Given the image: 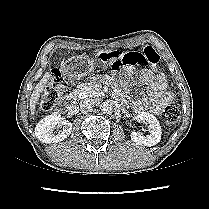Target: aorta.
Here are the masks:
<instances>
[{
    "mask_svg": "<svg viewBox=\"0 0 209 209\" xmlns=\"http://www.w3.org/2000/svg\"><path fill=\"white\" fill-rule=\"evenodd\" d=\"M100 109L104 114H111L113 112V106L109 102L102 103Z\"/></svg>",
    "mask_w": 209,
    "mask_h": 209,
    "instance_id": "1",
    "label": "aorta"
}]
</instances>
